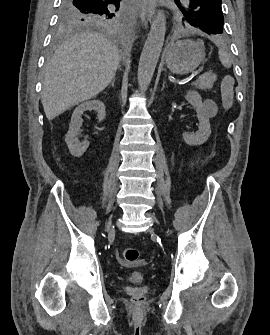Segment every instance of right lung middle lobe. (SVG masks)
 Listing matches in <instances>:
<instances>
[{
  "mask_svg": "<svg viewBox=\"0 0 270 335\" xmlns=\"http://www.w3.org/2000/svg\"><path fill=\"white\" fill-rule=\"evenodd\" d=\"M120 0H61L56 37L88 28H115L122 23Z\"/></svg>",
  "mask_w": 270,
  "mask_h": 335,
  "instance_id": "dd1d6c3e",
  "label": "right lung middle lobe"
}]
</instances>
